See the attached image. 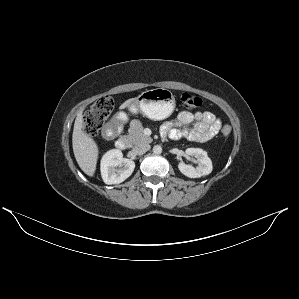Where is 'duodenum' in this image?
Instances as JSON below:
<instances>
[{
    "instance_id": "duodenum-1",
    "label": "duodenum",
    "mask_w": 299,
    "mask_h": 299,
    "mask_svg": "<svg viewBox=\"0 0 299 299\" xmlns=\"http://www.w3.org/2000/svg\"><path fill=\"white\" fill-rule=\"evenodd\" d=\"M121 127L119 124L117 123H110L108 124L103 132V135L106 139H113L115 137V135L120 132ZM115 146L119 149V150H126L128 143L127 140L124 137H120L117 138L115 140Z\"/></svg>"
}]
</instances>
